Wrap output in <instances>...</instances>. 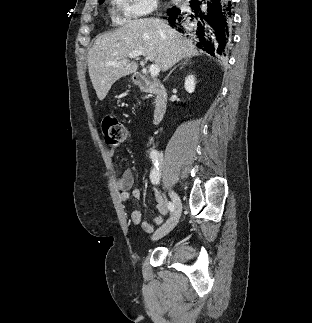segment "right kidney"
Listing matches in <instances>:
<instances>
[{
	"instance_id": "ca27d5eb",
	"label": "right kidney",
	"mask_w": 312,
	"mask_h": 323,
	"mask_svg": "<svg viewBox=\"0 0 312 323\" xmlns=\"http://www.w3.org/2000/svg\"><path fill=\"white\" fill-rule=\"evenodd\" d=\"M195 78L194 76H187L186 80H185V90L186 92H189V94H192V92H194L195 90Z\"/></svg>"
}]
</instances>
